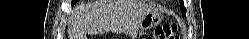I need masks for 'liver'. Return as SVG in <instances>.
I'll list each match as a JSON object with an SVG mask.
<instances>
[{
	"label": "liver",
	"mask_w": 249,
	"mask_h": 39,
	"mask_svg": "<svg viewBox=\"0 0 249 39\" xmlns=\"http://www.w3.org/2000/svg\"><path fill=\"white\" fill-rule=\"evenodd\" d=\"M151 11V6L137 0H114L82 6L79 18L69 31V37L86 39L87 31L92 35L131 21L138 26L142 18Z\"/></svg>",
	"instance_id": "1"
}]
</instances>
